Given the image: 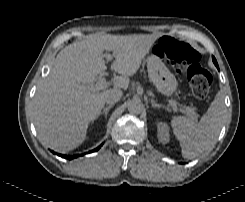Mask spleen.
Wrapping results in <instances>:
<instances>
[{
    "label": "spleen",
    "mask_w": 245,
    "mask_h": 202,
    "mask_svg": "<svg viewBox=\"0 0 245 202\" xmlns=\"http://www.w3.org/2000/svg\"><path fill=\"white\" fill-rule=\"evenodd\" d=\"M226 107L218 93L200 122L177 116L171 120L173 133L180 142L182 156L193 159L212 148L222 128Z\"/></svg>",
    "instance_id": "obj_1"
}]
</instances>
